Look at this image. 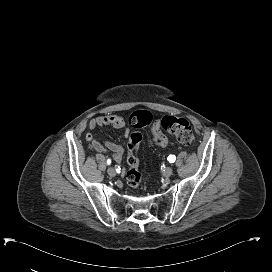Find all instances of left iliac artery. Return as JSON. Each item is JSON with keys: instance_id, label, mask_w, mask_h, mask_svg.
Returning <instances> with one entry per match:
<instances>
[{"instance_id": "44dca946", "label": "left iliac artery", "mask_w": 272, "mask_h": 272, "mask_svg": "<svg viewBox=\"0 0 272 272\" xmlns=\"http://www.w3.org/2000/svg\"><path fill=\"white\" fill-rule=\"evenodd\" d=\"M167 159H168V161H169L170 163H173V162H175L176 157H175V155H169Z\"/></svg>"}]
</instances>
